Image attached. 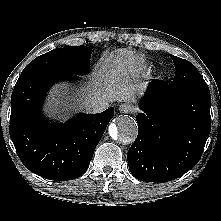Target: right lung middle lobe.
<instances>
[{
	"label": "right lung middle lobe",
	"instance_id": "dd1d6c3e",
	"mask_svg": "<svg viewBox=\"0 0 221 221\" xmlns=\"http://www.w3.org/2000/svg\"><path fill=\"white\" fill-rule=\"evenodd\" d=\"M92 50L86 46H67L49 51L31 61L21 74L29 71H51L85 74L89 70Z\"/></svg>",
	"mask_w": 221,
	"mask_h": 221
}]
</instances>
